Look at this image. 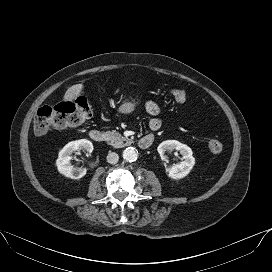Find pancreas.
<instances>
[{
    "label": "pancreas",
    "mask_w": 272,
    "mask_h": 272,
    "mask_svg": "<svg viewBox=\"0 0 272 272\" xmlns=\"http://www.w3.org/2000/svg\"><path fill=\"white\" fill-rule=\"evenodd\" d=\"M105 139L107 143L115 148H120L124 146V142L129 143V141L123 137L119 132L113 130V131H107L105 133Z\"/></svg>",
    "instance_id": "cf45deb5"
}]
</instances>
